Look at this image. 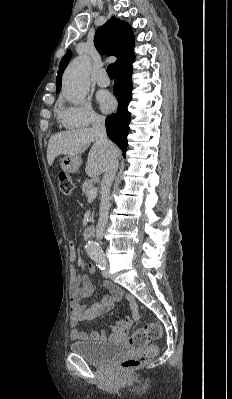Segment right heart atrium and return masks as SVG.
I'll return each instance as SVG.
<instances>
[{"label":"right heart atrium","mask_w":232,"mask_h":399,"mask_svg":"<svg viewBox=\"0 0 232 399\" xmlns=\"http://www.w3.org/2000/svg\"><path fill=\"white\" fill-rule=\"evenodd\" d=\"M56 113L61 124L67 129H76L77 125H90L91 122L101 121L99 115L89 106L61 104L57 107Z\"/></svg>","instance_id":"obj_1"}]
</instances>
